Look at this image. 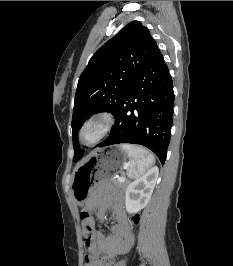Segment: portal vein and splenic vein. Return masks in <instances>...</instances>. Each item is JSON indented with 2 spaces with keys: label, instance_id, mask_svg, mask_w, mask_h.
Instances as JSON below:
<instances>
[{
  "label": "portal vein and splenic vein",
  "instance_id": "obj_1",
  "mask_svg": "<svg viewBox=\"0 0 233 266\" xmlns=\"http://www.w3.org/2000/svg\"><path fill=\"white\" fill-rule=\"evenodd\" d=\"M118 181L124 182L125 181V178L124 177H118Z\"/></svg>",
  "mask_w": 233,
  "mask_h": 266
}]
</instances>
